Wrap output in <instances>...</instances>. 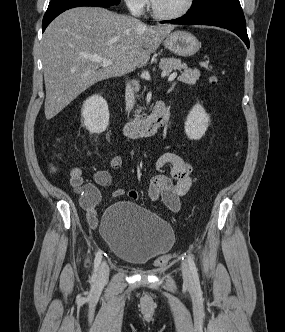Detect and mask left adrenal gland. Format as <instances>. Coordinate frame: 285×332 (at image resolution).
<instances>
[{"label": "left adrenal gland", "instance_id": "a2214340", "mask_svg": "<svg viewBox=\"0 0 285 332\" xmlns=\"http://www.w3.org/2000/svg\"><path fill=\"white\" fill-rule=\"evenodd\" d=\"M174 86H175V83H172L171 88L169 89V91H172Z\"/></svg>", "mask_w": 285, "mask_h": 332}]
</instances>
